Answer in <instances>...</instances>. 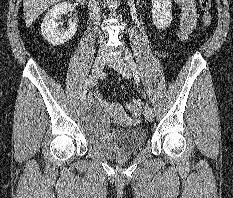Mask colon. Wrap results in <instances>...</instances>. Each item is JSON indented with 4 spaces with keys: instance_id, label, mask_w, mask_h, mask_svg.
Here are the masks:
<instances>
[{
    "instance_id": "obj_1",
    "label": "colon",
    "mask_w": 233,
    "mask_h": 198,
    "mask_svg": "<svg viewBox=\"0 0 233 198\" xmlns=\"http://www.w3.org/2000/svg\"><path fill=\"white\" fill-rule=\"evenodd\" d=\"M199 4L203 10L202 23L205 27H209L212 23L211 0H199ZM127 109L133 117H138L141 113V103L138 100L127 104Z\"/></svg>"
}]
</instances>
